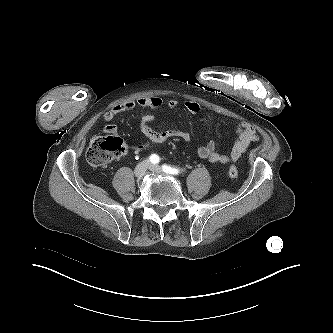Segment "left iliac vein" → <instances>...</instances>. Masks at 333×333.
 Masks as SVG:
<instances>
[{
    "instance_id": "obj_1",
    "label": "left iliac vein",
    "mask_w": 333,
    "mask_h": 333,
    "mask_svg": "<svg viewBox=\"0 0 333 333\" xmlns=\"http://www.w3.org/2000/svg\"><path fill=\"white\" fill-rule=\"evenodd\" d=\"M149 169H150L152 172H155V173H162V172H163V169H162L159 165H153V164H150Z\"/></svg>"
}]
</instances>
